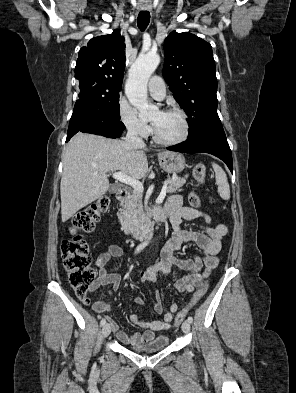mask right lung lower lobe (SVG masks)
<instances>
[{
  "label": "right lung lower lobe",
  "instance_id": "right-lung-lower-lobe-1",
  "mask_svg": "<svg viewBox=\"0 0 296 393\" xmlns=\"http://www.w3.org/2000/svg\"><path fill=\"white\" fill-rule=\"evenodd\" d=\"M124 129L123 123L108 113L77 100L70 119L66 142L77 132L119 138Z\"/></svg>",
  "mask_w": 296,
  "mask_h": 393
}]
</instances>
